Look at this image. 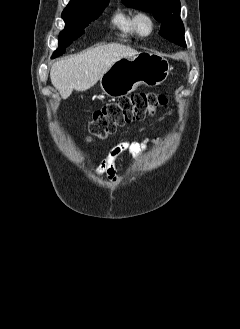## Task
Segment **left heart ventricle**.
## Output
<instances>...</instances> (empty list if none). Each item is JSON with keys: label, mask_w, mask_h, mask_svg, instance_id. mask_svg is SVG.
<instances>
[{"label": "left heart ventricle", "mask_w": 240, "mask_h": 329, "mask_svg": "<svg viewBox=\"0 0 240 329\" xmlns=\"http://www.w3.org/2000/svg\"><path fill=\"white\" fill-rule=\"evenodd\" d=\"M142 29H143L144 31H146V30L148 29V25H147L146 22H143V23H142Z\"/></svg>", "instance_id": "left-heart-ventricle-1"}]
</instances>
